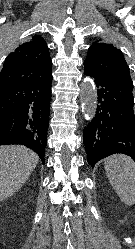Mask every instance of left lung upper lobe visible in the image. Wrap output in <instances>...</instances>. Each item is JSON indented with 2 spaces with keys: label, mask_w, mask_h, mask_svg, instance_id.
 Masks as SVG:
<instances>
[{
  "label": "left lung upper lobe",
  "mask_w": 135,
  "mask_h": 249,
  "mask_svg": "<svg viewBox=\"0 0 135 249\" xmlns=\"http://www.w3.org/2000/svg\"><path fill=\"white\" fill-rule=\"evenodd\" d=\"M84 66L108 78L133 84L122 52L112 44L94 42L88 49Z\"/></svg>",
  "instance_id": "obj_1"
}]
</instances>
